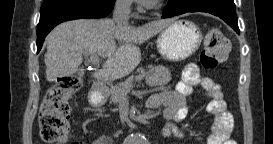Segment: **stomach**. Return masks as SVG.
<instances>
[{
    "mask_svg": "<svg viewBox=\"0 0 273 144\" xmlns=\"http://www.w3.org/2000/svg\"><path fill=\"white\" fill-rule=\"evenodd\" d=\"M201 41L202 33L196 24L187 20H179L160 32L157 49L167 60L181 61L194 54ZM106 98L105 92H92L89 95V102L92 106L99 107L105 103Z\"/></svg>",
    "mask_w": 273,
    "mask_h": 144,
    "instance_id": "obj_1",
    "label": "stomach"
}]
</instances>
